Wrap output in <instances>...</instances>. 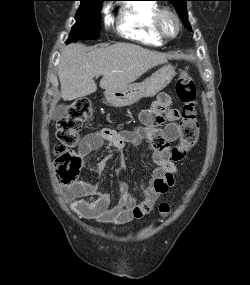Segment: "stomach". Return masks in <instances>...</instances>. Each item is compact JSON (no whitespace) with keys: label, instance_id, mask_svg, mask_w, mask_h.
<instances>
[{"label":"stomach","instance_id":"stomach-1","mask_svg":"<svg viewBox=\"0 0 250 285\" xmlns=\"http://www.w3.org/2000/svg\"><path fill=\"white\" fill-rule=\"evenodd\" d=\"M174 76V67L165 65L143 82L132 83L116 90H106L105 98L112 106H129L142 98L154 97L171 82Z\"/></svg>","mask_w":250,"mask_h":285}]
</instances>
